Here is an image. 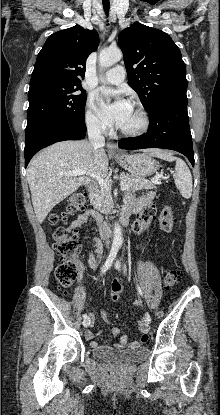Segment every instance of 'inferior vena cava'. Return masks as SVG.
<instances>
[{"label":"inferior vena cava","instance_id":"602c4592","mask_svg":"<svg viewBox=\"0 0 220 415\" xmlns=\"http://www.w3.org/2000/svg\"><path fill=\"white\" fill-rule=\"evenodd\" d=\"M88 139L94 150L100 149L105 145V138L102 135L101 125L92 122L87 126Z\"/></svg>","mask_w":220,"mask_h":415}]
</instances>
